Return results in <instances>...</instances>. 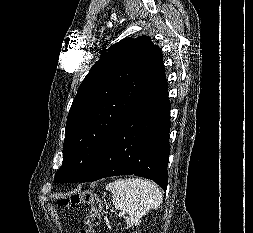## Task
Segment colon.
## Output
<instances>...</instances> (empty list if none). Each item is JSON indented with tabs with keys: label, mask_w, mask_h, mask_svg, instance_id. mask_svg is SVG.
Instances as JSON below:
<instances>
[{
	"label": "colon",
	"mask_w": 253,
	"mask_h": 233,
	"mask_svg": "<svg viewBox=\"0 0 253 233\" xmlns=\"http://www.w3.org/2000/svg\"><path fill=\"white\" fill-rule=\"evenodd\" d=\"M81 202H94V196L91 193L71 194L57 199V204L63 208H72ZM98 214L96 209H93L85 220V226L80 230V233H95V227L98 224Z\"/></svg>",
	"instance_id": "1"
}]
</instances>
